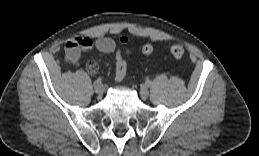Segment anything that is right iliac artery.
<instances>
[{"mask_svg": "<svg viewBox=\"0 0 259 156\" xmlns=\"http://www.w3.org/2000/svg\"><path fill=\"white\" fill-rule=\"evenodd\" d=\"M102 84V79L101 78H98L95 82H94V87L96 88V87H98L99 85H101Z\"/></svg>", "mask_w": 259, "mask_h": 156, "instance_id": "1", "label": "right iliac artery"}]
</instances>
